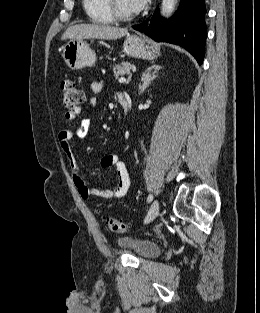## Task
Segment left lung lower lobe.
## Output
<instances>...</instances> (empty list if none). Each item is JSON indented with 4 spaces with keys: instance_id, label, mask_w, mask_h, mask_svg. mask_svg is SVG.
Wrapping results in <instances>:
<instances>
[{
    "instance_id": "left-lung-lower-lobe-1",
    "label": "left lung lower lobe",
    "mask_w": 260,
    "mask_h": 313,
    "mask_svg": "<svg viewBox=\"0 0 260 313\" xmlns=\"http://www.w3.org/2000/svg\"><path fill=\"white\" fill-rule=\"evenodd\" d=\"M205 13L204 0H181L179 9L171 19H163L157 9L149 24L144 23L133 28L145 32L155 41L184 47L201 65L207 37Z\"/></svg>"
}]
</instances>
